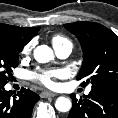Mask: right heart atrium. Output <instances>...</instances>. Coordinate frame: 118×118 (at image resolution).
Returning <instances> with one entry per match:
<instances>
[{
  "label": "right heart atrium",
  "mask_w": 118,
  "mask_h": 118,
  "mask_svg": "<svg viewBox=\"0 0 118 118\" xmlns=\"http://www.w3.org/2000/svg\"><path fill=\"white\" fill-rule=\"evenodd\" d=\"M34 46H35V40H30L22 48V54L25 56L30 55L32 50L34 49Z\"/></svg>",
  "instance_id": "right-heart-atrium-1"
}]
</instances>
